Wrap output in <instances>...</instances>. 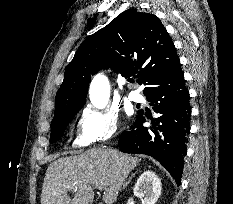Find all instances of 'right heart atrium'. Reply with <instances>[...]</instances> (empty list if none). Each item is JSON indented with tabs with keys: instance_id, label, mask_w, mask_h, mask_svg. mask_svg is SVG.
Returning <instances> with one entry per match:
<instances>
[{
	"instance_id": "1",
	"label": "right heart atrium",
	"mask_w": 233,
	"mask_h": 204,
	"mask_svg": "<svg viewBox=\"0 0 233 204\" xmlns=\"http://www.w3.org/2000/svg\"><path fill=\"white\" fill-rule=\"evenodd\" d=\"M118 128L119 120L115 110L87 106L82 110L78 122L76 144L89 147L107 142L117 135Z\"/></svg>"
}]
</instances>
